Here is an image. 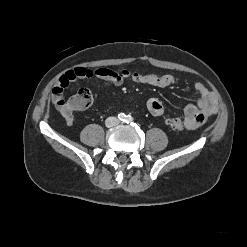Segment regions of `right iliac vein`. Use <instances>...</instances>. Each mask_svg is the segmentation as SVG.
Returning a JSON list of instances; mask_svg holds the SVG:
<instances>
[{"label":"right iliac vein","mask_w":247,"mask_h":247,"mask_svg":"<svg viewBox=\"0 0 247 247\" xmlns=\"http://www.w3.org/2000/svg\"><path fill=\"white\" fill-rule=\"evenodd\" d=\"M107 125H108V126L113 125V120H112V119H111V120H108Z\"/></svg>","instance_id":"right-iliac-vein-1"}]
</instances>
